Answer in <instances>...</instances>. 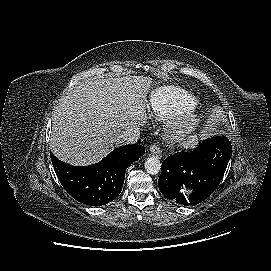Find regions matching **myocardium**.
Here are the masks:
<instances>
[{"label":"myocardium","instance_id":"myocardium-1","mask_svg":"<svg viewBox=\"0 0 271 271\" xmlns=\"http://www.w3.org/2000/svg\"><path fill=\"white\" fill-rule=\"evenodd\" d=\"M199 121L195 111L172 116L165 121L164 138L170 143L183 142L194 134Z\"/></svg>","mask_w":271,"mask_h":271}]
</instances>
